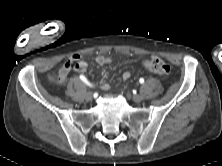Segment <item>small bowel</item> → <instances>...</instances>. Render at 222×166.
I'll use <instances>...</instances> for the list:
<instances>
[{
	"instance_id": "1",
	"label": "small bowel",
	"mask_w": 222,
	"mask_h": 166,
	"mask_svg": "<svg viewBox=\"0 0 222 166\" xmlns=\"http://www.w3.org/2000/svg\"><path fill=\"white\" fill-rule=\"evenodd\" d=\"M94 62L99 66H104L111 62V58L104 55H97L94 58ZM72 68H74V70L79 73H85L88 69V64L80 55H72L65 60L60 70V74H62L65 77ZM130 77H131L130 71H125L122 74V79L124 81L128 80ZM109 87L110 85L108 83H104L102 89L108 90Z\"/></svg>"
}]
</instances>
